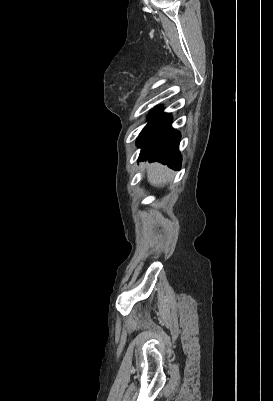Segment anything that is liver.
I'll return each instance as SVG.
<instances>
[{"mask_svg":"<svg viewBox=\"0 0 273 401\" xmlns=\"http://www.w3.org/2000/svg\"><path fill=\"white\" fill-rule=\"evenodd\" d=\"M147 166V178L153 186H164L166 182H170L173 172L167 166L152 162V164H146Z\"/></svg>","mask_w":273,"mask_h":401,"instance_id":"obj_1","label":"liver"}]
</instances>
